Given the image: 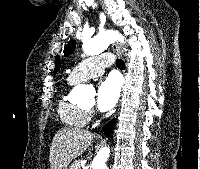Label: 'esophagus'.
Wrapping results in <instances>:
<instances>
[{
  "instance_id": "1",
  "label": "esophagus",
  "mask_w": 200,
  "mask_h": 169,
  "mask_svg": "<svg viewBox=\"0 0 200 169\" xmlns=\"http://www.w3.org/2000/svg\"><path fill=\"white\" fill-rule=\"evenodd\" d=\"M112 48H113V50L117 53V55H118L119 57L123 58V53H122V51H121L120 46H119L117 43H113V44H112Z\"/></svg>"
}]
</instances>
